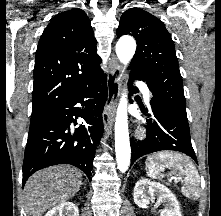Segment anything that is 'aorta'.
Returning <instances> with one entry per match:
<instances>
[{"label": "aorta", "instance_id": "1", "mask_svg": "<svg viewBox=\"0 0 221 216\" xmlns=\"http://www.w3.org/2000/svg\"><path fill=\"white\" fill-rule=\"evenodd\" d=\"M136 50V42L131 36L121 37L116 44L118 59L125 66L129 64ZM127 95L122 94L115 121V152L118 169L126 172L130 165L131 148L128 131Z\"/></svg>", "mask_w": 221, "mask_h": 216}]
</instances>
